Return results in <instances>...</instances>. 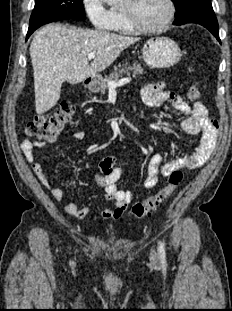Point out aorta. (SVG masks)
Wrapping results in <instances>:
<instances>
[{
  "label": "aorta",
  "mask_w": 232,
  "mask_h": 311,
  "mask_svg": "<svg viewBox=\"0 0 232 311\" xmlns=\"http://www.w3.org/2000/svg\"><path fill=\"white\" fill-rule=\"evenodd\" d=\"M103 1L109 5H114V4H117L118 2H120V0H103Z\"/></svg>",
  "instance_id": "762f6f07"
}]
</instances>
